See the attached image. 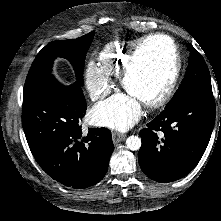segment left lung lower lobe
I'll return each mask as SVG.
<instances>
[{"mask_svg": "<svg viewBox=\"0 0 221 221\" xmlns=\"http://www.w3.org/2000/svg\"><path fill=\"white\" fill-rule=\"evenodd\" d=\"M215 123L213 94L192 92L140 131L139 164L149 178L176 181L198 164Z\"/></svg>", "mask_w": 221, "mask_h": 221, "instance_id": "0a47b994", "label": "left lung lower lobe"}]
</instances>
